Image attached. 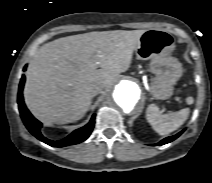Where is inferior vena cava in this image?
Returning a JSON list of instances; mask_svg holds the SVG:
<instances>
[{
    "label": "inferior vena cava",
    "instance_id": "602c4592",
    "mask_svg": "<svg viewBox=\"0 0 212 183\" xmlns=\"http://www.w3.org/2000/svg\"><path fill=\"white\" fill-rule=\"evenodd\" d=\"M103 88H104V85L103 84L97 85V86H95L93 93L95 95H97L98 93H100L102 91Z\"/></svg>",
    "mask_w": 212,
    "mask_h": 183
}]
</instances>
